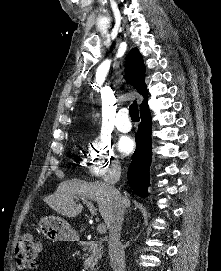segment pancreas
Instances as JSON below:
<instances>
[{"label":"pancreas","instance_id":"1","mask_svg":"<svg viewBox=\"0 0 221 271\" xmlns=\"http://www.w3.org/2000/svg\"><path fill=\"white\" fill-rule=\"evenodd\" d=\"M78 245H84V251H86L84 255H89L84 261V269L93 271L94 265L102 257L104 247L102 241L78 240Z\"/></svg>","mask_w":221,"mask_h":271}]
</instances>
